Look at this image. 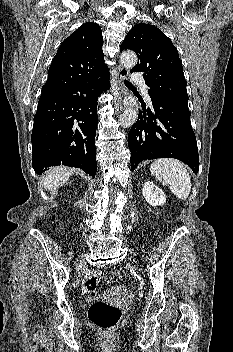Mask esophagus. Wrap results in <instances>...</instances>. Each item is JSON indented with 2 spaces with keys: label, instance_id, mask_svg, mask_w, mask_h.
I'll use <instances>...</instances> for the list:
<instances>
[{
  "label": "esophagus",
  "instance_id": "esophagus-1",
  "mask_svg": "<svg viewBox=\"0 0 233 352\" xmlns=\"http://www.w3.org/2000/svg\"><path fill=\"white\" fill-rule=\"evenodd\" d=\"M117 75L120 109L124 110L129 107V104L125 101L126 90L123 84L124 80L127 79L129 76V71L126 68L119 66Z\"/></svg>",
  "mask_w": 233,
  "mask_h": 352
}]
</instances>
